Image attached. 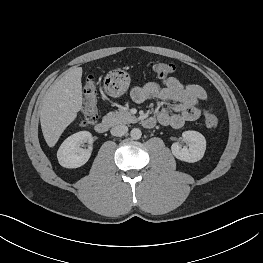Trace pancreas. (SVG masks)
Wrapping results in <instances>:
<instances>
[{"instance_id":"1","label":"pancreas","mask_w":263,"mask_h":263,"mask_svg":"<svg viewBox=\"0 0 263 263\" xmlns=\"http://www.w3.org/2000/svg\"><path fill=\"white\" fill-rule=\"evenodd\" d=\"M105 118L112 124H127L137 121V118L133 116L129 111L121 109L119 111L109 112Z\"/></svg>"}]
</instances>
